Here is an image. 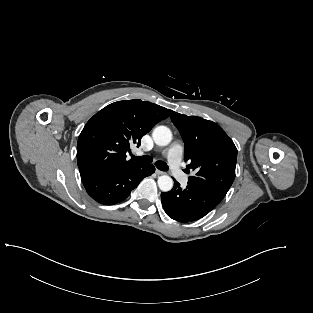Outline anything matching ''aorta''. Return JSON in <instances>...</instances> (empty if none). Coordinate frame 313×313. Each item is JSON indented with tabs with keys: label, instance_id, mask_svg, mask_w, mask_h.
<instances>
[{
	"label": "aorta",
	"instance_id": "aorta-1",
	"mask_svg": "<svg viewBox=\"0 0 313 313\" xmlns=\"http://www.w3.org/2000/svg\"><path fill=\"white\" fill-rule=\"evenodd\" d=\"M152 137L155 144L159 146H166L172 140V133L168 127L158 126L154 129ZM158 186L161 191L168 192L173 187V180L167 175H162L158 178Z\"/></svg>",
	"mask_w": 313,
	"mask_h": 313
}]
</instances>
